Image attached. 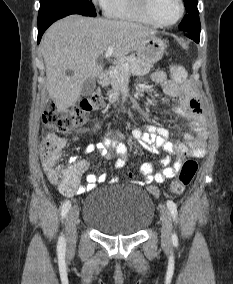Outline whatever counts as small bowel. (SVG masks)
Instances as JSON below:
<instances>
[{"label": "small bowel", "mask_w": 233, "mask_h": 284, "mask_svg": "<svg viewBox=\"0 0 233 284\" xmlns=\"http://www.w3.org/2000/svg\"><path fill=\"white\" fill-rule=\"evenodd\" d=\"M152 79L163 88L167 95L179 100L175 112L191 121L192 133H187L185 135V143H173L170 139L168 130L163 127L147 125L145 131L140 128L134 129L132 135L136 140L156 150L164 151L170 156H176V160L171 165L165 166L157 173H154V168L151 163H142L139 170L144 177V180L137 181L136 183L139 185H149L154 182L163 183L168 179L176 177L180 172L186 157L202 158L205 155L206 139L208 135L201 103L191 84L170 80L162 70L154 72L152 74ZM85 152L88 155L97 153L106 160H110L114 155H118L119 158L115 161L114 168L119 170L126 164L128 147L124 143L123 134L109 132L101 142L89 144L86 147ZM42 165L49 180L53 184L58 185V170L48 166L44 162H42ZM88 168L89 162L86 159H79L76 156H71L69 158V165L61 172L75 173L81 177ZM130 178L133 179L131 173ZM86 179L87 185L85 187H79L75 192L76 194L93 190L98 183H102L106 180V174H89Z\"/></svg>", "instance_id": "1"}]
</instances>
